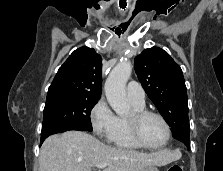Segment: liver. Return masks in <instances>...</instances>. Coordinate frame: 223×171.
<instances>
[{
	"label": "liver",
	"instance_id": "6515ba94",
	"mask_svg": "<svg viewBox=\"0 0 223 171\" xmlns=\"http://www.w3.org/2000/svg\"><path fill=\"white\" fill-rule=\"evenodd\" d=\"M181 153L161 150L143 153L115 148L81 131L52 135L42 144L39 156L40 171H92L97 164H106L104 171H141L148 166H164Z\"/></svg>",
	"mask_w": 223,
	"mask_h": 171
}]
</instances>
